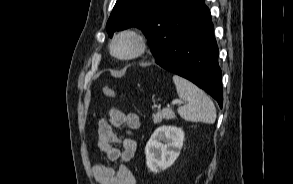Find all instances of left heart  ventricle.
I'll use <instances>...</instances> for the list:
<instances>
[{"label": "left heart ventricle", "mask_w": 293, "mask_h": 184, "mask_svg": "<svg viewBox=\"0 0 293 184\" xmlns=\"http://www.w3.org/2000/svg\"><path fill=\"white\" fill-rule=\"evenodd\" d=\"M135 42L130 37H122L115 44V52L120 55H127L134 51Z\"/></svg>", "instance_id": "left-heart-ventricle-1"}]
</instances>
